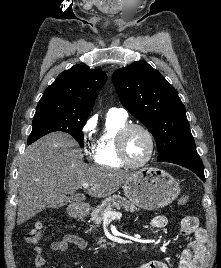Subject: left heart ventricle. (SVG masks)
I'll return each mask as SVG.
<instances>
[{"mask_svg": "<svg viewBox=\"0 0 221 268\" xmlns=\"http://www.w3.org/2000/svg\"><path fill=\"white\" fill-rule=\"evenodd\" d=\"M125 147L128 159L133 163H139L148 155L150 143L143 131L134 129L128 133Z\"/></svg>", "mask_w": 221, "mask_h": 268, "instance_id": "left-heart-ventricle-1", "label": "left heart ventricle"}]
</instances>
